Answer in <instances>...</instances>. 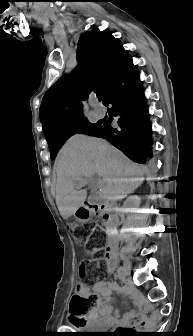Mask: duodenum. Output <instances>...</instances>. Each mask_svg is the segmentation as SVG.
<instances>
[{"label":"duodenum","mask_w":193,"mask_h":336,"mask_svg":"<svg viewBox=\"0 0 193 336\" xmlns=\"http://www.w3.org/2000/svg\"><path fill=\"white\" fill-rule=\"evenodd\" d=\"M91 211L101 217L108 224V243L106 245L105 257L110 264L115 262L116 231L113 225L115 221L116 207L109 202H102L89 205Z\"/></svg>","instance_id":"obj_1"}]
</instances>
